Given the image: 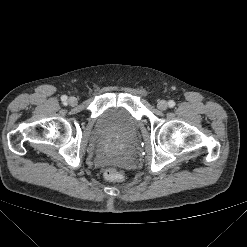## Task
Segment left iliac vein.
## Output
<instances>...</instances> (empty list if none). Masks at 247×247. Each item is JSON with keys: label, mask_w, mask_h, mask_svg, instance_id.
Returning a JSON list of instances; mask_svg holds the SVG:
<instances>
[{"label": "left iliac vein", "mask_w": 247, "mask_h": 247, "mask_svg": "<svg viewBox=\"0 0 247 247\" xmlns=\"http://www.w3.org/2000/svg\"><path fill=\"white\" fill-rule=\"evenodd\" d=\"M157 107H158L159 110L164 111V110L167 109L168 103H167L165 100H160V101L157 103Z\"/></svg>", "instance_id": "1"}]
</instances>
